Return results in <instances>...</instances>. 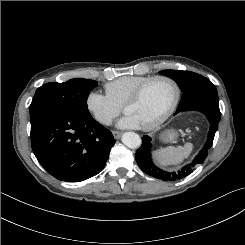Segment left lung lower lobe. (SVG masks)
Returning <instances> with one entry per match:
<instances>
[{"label": "left lung lower lobe", "mask_w": 245, "mask_h": 245, "mask_svg": "<svg viewBox=\"0 0 245 245\" xmlns=\"http://www.w3.org/2000/svg\"><path fill=\"white\" fill-rule=\"evenodd\" d=\"M191 110L202 112L207 116L210 122L208 139L204 147L202 148V150L199 152V154L194 158V160L190 164H187L186 166H184L178 171L168 172L160 169L153 163L152 153H151V147H152L151 138L147 135H144L142 137V144L140 148L136 151L135 159L139 167L146 174L151 175L158 179H162L164 181H175L186 177L194 170L196 166L204 162L212 146L215 133L218 130V123L221 118L219 103H213V102L196 103L186 107L182 111H191Z\"/></svg>", "instance_id": "obj_1"}]
</instances>
